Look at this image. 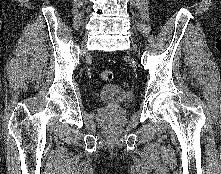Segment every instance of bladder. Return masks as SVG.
<instances>
[{"instance_id":"obj_1","label":"bladder","mask_w":221,"mask_h":174,"mask_svg":"<svg viewBox=\"0 0 221 174\" xmlns=\"http://www.w3.org/2000/svg\"><path fill=\"white\" fill-rule=\"evenodd\" d=\"M95 99L102 103H128L132 100V93L120 85L108 84L95 94Z\"/></svg>"}]
</instances>
